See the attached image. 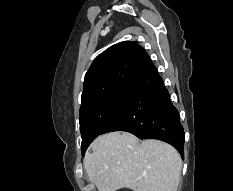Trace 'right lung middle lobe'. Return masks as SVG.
<instances>
[{
  "instance_id": "obj_1",
  "label": "right lung middle lobe",
  "mask_w": 233,
  "mask_h": 191,
  "mask_svg": "<svg viewBox=\"0 0 233 191\" xmlns=\"http://www.w3.org/2000/svg\"><path fill=\"white\" fill-rule=\"evenodd\" d=\"M129 92L123 91L106 96L92 104L80 108V130L82 136V156L90 143L125 107Z\"/></svg>"
}]
</instances>
